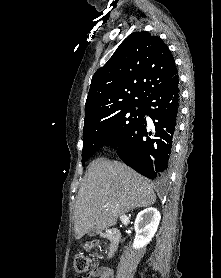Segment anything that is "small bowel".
Here are the masks:
<instances>
[{"label":"small bowel","instance_id":"small-bowel-1","mask_svg":"<svg viewBox=\"0 0 221 278\" xmlns=\"http://www.w3.org/2000/svg\"><path fill=\"white\" fill-rule=\"evenodd\" d=\"M84 278H113V271L106 267H95L93 271Z\"/></svg>","mask_w":221,"mask_h":278}]
</instances>
